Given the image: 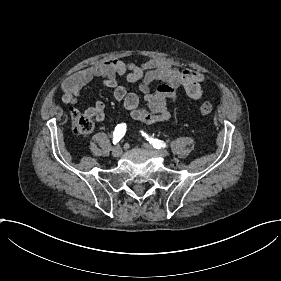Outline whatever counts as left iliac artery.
<instances>
[{
    "label": "left iliac artery",
    "mask_w": 281,
    "mask_h": 281,
    "mask_svg": "<svg viewBox=\"0 0 281 281\" xmlns=\"http://www.w3.org/2000/svg\"><path fill=\"white\" fill-rule=\"evenodd\" d=\"M142 135L145 136L147 138V141H149L150 144L153 145L154 148L156 149H160L161 147H166L165 143L163 144V141L158 140V139H153V138H149L148 135L146 133H144L143 131H141Z\"/></svg>",
    "instance_id": "obj_1"
}]
</instances>
